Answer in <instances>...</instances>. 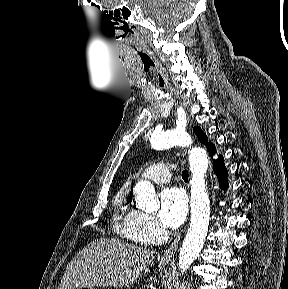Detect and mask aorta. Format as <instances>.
Wrapping results in <instances>:
<instances>
[{"mask_svg": "<svg viewBox=\"0 0 288 289\" xmlns=\"http://www.w3.org/2000/svg\"><path fill=\"white\" fill-rule=\"evenodd\" d=\"M151 146L156 150L174 146H187L189 137L182 129L153 133ZM191 179V220L190 227L179 252V269L182 274L199 255L208 231L210 220L209 197L205 185L208 156L203 148H192L189 155ZM136 206L147 212L157 211L160 207L153 184L138 182L134 188Z\"/></svg>", "mask_w": 288, "mask_h": 289, "instance_id": "762f6f07", "label": "aorta"}]
</instances>
